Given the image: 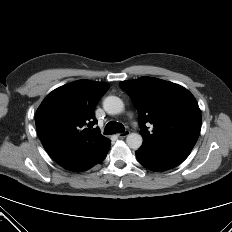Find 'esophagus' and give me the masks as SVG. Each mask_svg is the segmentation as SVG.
Listing matches in <instances>:
<instances>
[{"instance_id": "obj_1", "label": "esophagus", "mask_w": 232, "mask_h": 232, "mask_svg": "<svg viewBox=\"0 0 232 232\" xmlns=\"http://www.w3.org/2000/svg\"><path fill=\"white\" fill-rule=\"evenodd\" d=\"M129 134H130V131H129V130H126L125 132L118 134V137H119V138H125V137H127Z\"/></svg>"}]
</instances>
